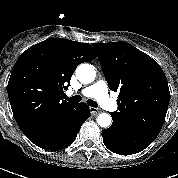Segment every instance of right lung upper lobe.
I'll list each match as a JSON object with an SVG mask.
<instances>
[{
    "mask_svg": "<svg viewBox=\"0 0 178 178\" xmlns=\"http://www.w3.org/2000/svg\"><path fill=\"white\" fill-rule=\"evenodd\" d=\"M95 58L90 44L63 38L44 40L22 53L7 91L14 118L26 137L73 117L79 103L63 100V89L79 64Z\"/></svg>",
    "mask_w": 178,
    "mask_h": 178,
    "instance_id": "obj_1",
    "label": "right lung upper lobe"
}]
</instances>
